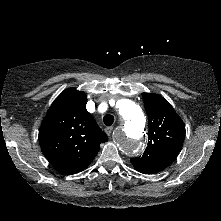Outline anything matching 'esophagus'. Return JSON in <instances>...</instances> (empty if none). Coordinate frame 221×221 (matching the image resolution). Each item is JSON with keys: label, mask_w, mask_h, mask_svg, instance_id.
Here are the masks:
<instances>
[{"label": "esophagus", "mask_w": 221, "mask_h": 221, "mask_svg": "<svg viewBox=\"0 0 221 221\" xmlns=\"http://www.w3.org/2000/svg\"><path fill=\"white\" fill-rule=\"evenodd\" d=\"M112 131H113V127H106V128H105V133H106L108 136L111 135Z\"/></svg>", "instance_id": "1"}]
</instances>
